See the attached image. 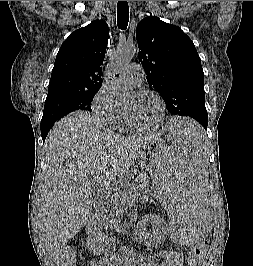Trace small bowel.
Instances as JSON below:
<instances>
[{
  "mask_svg": "<svg viewBox=\"0 0 253 266\" xmlns=\"http://www.w3.org/2000/svg\"><path fill=\"white\" fill-rule=\"evenodd\" d=\"M64 254L62 255L61 259L63 258ZM159 256L161 258L160 263L149 262L141 255L132 253L123 260L109 262L108 264L107 262H103L101 264L100 261H93L91 266H195L197 263L190 262L185 264L179 250H160Z\"/></svg>",
  "mask_w": 253,
  "mask_h": 266,
  "instance_id": "c3829d8e",
  "label": "small bowel"
}]
</instances>
